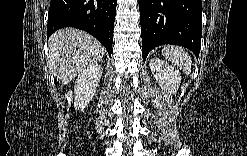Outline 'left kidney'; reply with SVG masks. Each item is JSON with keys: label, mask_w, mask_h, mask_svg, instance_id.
<instances>
[{"label": "left kidney", "mask_w": 247, "mask_h": 156, "mask_svg": "<svg viewBox=\"0 0 247 156\" xmlns=\"http://www.w3.org/2000/svg\"><path fill=\"white\" fill-rule=\"evenodd\" d=\"M149 66L162 90L175 94L181 83L180 72L159 58H151Z\"/></svg>", "instance_id": "left-kidney-1"}]
</instances>
